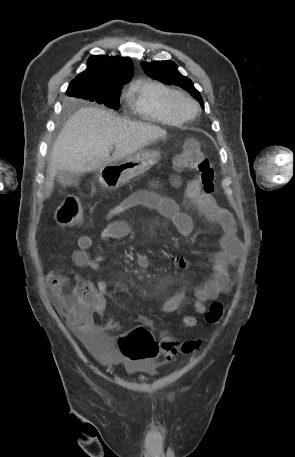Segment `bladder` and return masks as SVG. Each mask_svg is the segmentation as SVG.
Masks as SVG:
<instances>
[{
  "instance_id": "bladder-1",
  "label": "bladder",
  "mask_w": 295,
  "mask_h": 457,
  "mask_svg": "<svg viewBox=\"0 0 295 457\" xmlns=\"http://www.w3.org/2000/svg\"><path fill=\"white\" fill-rule=\"evenodd\" d=\"M80 347H91L90 355L97 356L98 360L104 365L112 363L108 356H114L113 338H80ZM160 364L129 362L127 370L129 373H146L155 375L158 372Z\"/></svg>"
}]
</instances>
